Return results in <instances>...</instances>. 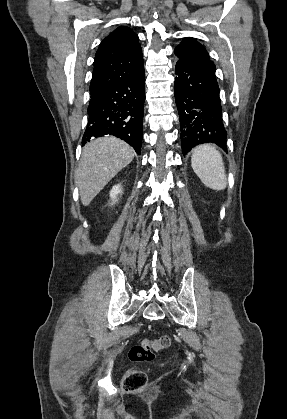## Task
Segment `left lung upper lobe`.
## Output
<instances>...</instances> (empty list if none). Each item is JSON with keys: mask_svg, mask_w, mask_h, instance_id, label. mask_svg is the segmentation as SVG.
<instances>
[{"mask_svg": "<svg viewBox=\"0 0 287 419\" xmlns=\"http://www.w3.org/2000/svg\"><path fill=\"white\" fill-rule=\"evenodd\" d=\"M179 61L191 65L205 66L214 65L210 60L206 49L194 38H185L175 49Z\"/></svg>", "mask_w": 287, "mask_h": 419, "instance_id": "left-lung-upper-lobe-1", "label": "left lung upper lobe"}]
</instances>
